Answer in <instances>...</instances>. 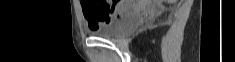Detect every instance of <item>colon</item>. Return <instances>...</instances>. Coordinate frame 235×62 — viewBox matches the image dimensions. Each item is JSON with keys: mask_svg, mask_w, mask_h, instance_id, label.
Listing matches in <instances>:
<instances>
[{"mask_svg": "<svg viewBox=\"0 0 235 62\" xmlns=\"http://www.w3.org/2000/svg\"><path fill=\"white\" fill-rule=\"evenodd\" d=\"M118 2V0L113 1V5ZM83 6L85 16L94 21L95 24L106 23L110 20L111 10L108 2L84 0Z\"/></svg>", "mask_w": 235, "mask_h": 62, "instance_id": "1", "label": "colon"}]
</instances>
